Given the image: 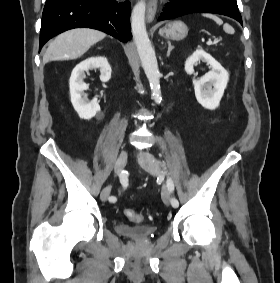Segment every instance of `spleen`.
Masks as SVG:
<instances>
[{
  "instance_id": "3e777b00",
  "label": "spleen",
  "mask_w": 280,
  "mask_h": 283,
  "mask_svg": "<svg viewBox=\"0 0 280 283\" xmlns=\"http://www.w3.org/2000/svg\"><path fill=\"white\" fill-rule=\"evenodd\" d=\"M203 16L214 20L218 25H223V29L226 33L234 34V32H235L234 28L231 25H229L228 23L223 24V21L219 17H217L216 15L203 14Z\"/></svg>"
}]
</instances>
